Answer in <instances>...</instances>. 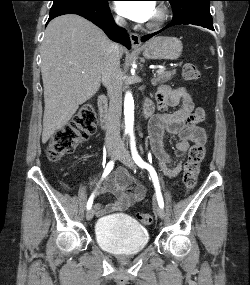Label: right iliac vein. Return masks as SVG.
<instances>
[{
  "label": "right iliac vein",
  "mask_w": 250,
  "mask_h": 285,
  "mask_svg": "<svg viewBox=\"0 0 250 285\" xmlns=\"http://www.w3.org/2000/svg\"><path fill=\"white\" fill-rule=\"evenodd\" d=\"M117 149L116 147H109L108 148V155L110 158H113L116 155ZM94 216V210L90 208L86 213V219L90 221Z\"/></svg>",
  "instance_id": "63e3f726"
}]
</instances>
